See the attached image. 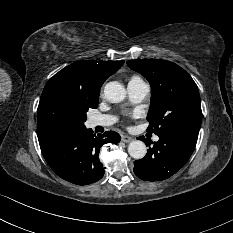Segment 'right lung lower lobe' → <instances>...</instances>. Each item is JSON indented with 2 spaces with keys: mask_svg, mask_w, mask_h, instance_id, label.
Segmentation results:
<instances>
[{
  "mask_svg": "<svg viewBox=\"0 0 233 233\" xmlns=\"http://www.w3.org/2000/svg\"><path fill=\"white\" fill-rule=\"evenodd\" d=\"M37 136L51 169L62 179L77 185H88L103 177L104 168L98 157L100 147L109 142L117 144L121 139L113 131L95 136L85 126L75 129L40 128Z\"/></svg>",
  "mask_w": 233,
  "mask_h": 233,
  "instance_id": "obj_1",
  "label": "right lung lower lobe"
}]
</instances>
